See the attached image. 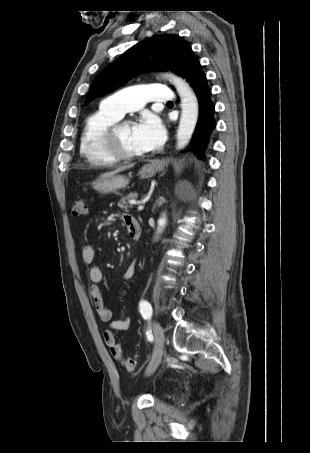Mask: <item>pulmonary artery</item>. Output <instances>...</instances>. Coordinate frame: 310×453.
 Instances as JSON below:
<instances>
[{"label":"pulmonary artery","instance_id":"pulmonary-artery-1","mask_svg":"<svg viewBox=\"0 0 310 453\" xmlns=\"http://www.w3.org/2000/svg\"><path fill=\"white\" fill-rule=\"evenodd\" d=\"M173 93L166 85L150 84L122 89L102 101V106L122 117L140 110L148 101H170Z\"/></svg>","mask_w":310,"mask_h":453}]
</instances>
